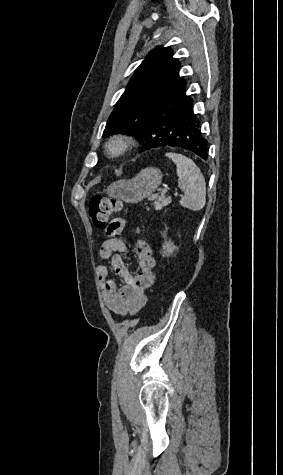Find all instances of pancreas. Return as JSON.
<instances>
[{
    "label": "pancreas",
    "instance_id": "1",
    "mask_svg": "<svg viewBox=\"0 0 283 475\" xmlns=\"http://www.w3.org/2000/svg\"><path fill=\"white\" fill-rule=\"evenodd\" d=\"M171 196H168L166 198L165 192H161V196H158V200L154 202L155 210H162L163 206H168V204H171ZM149 210V208H147Z\"/></svg>",
    "mask_w": 283,
    "mask_h": 475
}]
</instances>
